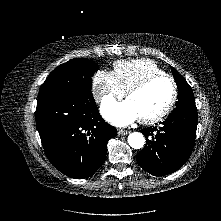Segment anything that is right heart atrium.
Instances as JSON below:
<instances>
[{
	"instance_id": "right-heart-atrium-1",
	"label": "right heart atrium",
	"mask_w": 221,
	"mask_h": 221,
	"mask_svg": "<svg viewBox=\"0 0 221 221\" xmlns=\"http://www.w3.org/2000/svg\"><path fill=\"white\" fill-rule=\"evenodd\" d=\"M92 90L96 101L101 103L121 98L125 93L114 73L106 70L96 72L92 81Z\"/></svg>"
}]
</instances>
